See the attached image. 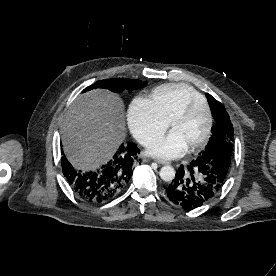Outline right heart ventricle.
Returning <instances> with one entry per match:
<instances>
[{
    "instance_id": "right-heart-ventricle-1",
    "label": "right heart ventricle",
    "mask_w": 276,
    "mask_h": 276,
    "mask_svg": "<svg viewBox=\"0 0 276 276\" xmlns=\"http://www.w3.org/2000/svg\"><path fill=\"white\" fill-rule=\"evenodd\" d=\"M151 101L155 104L161 115L170 122L172 117L189 103L193 101H205V99L188 84L168 83L158 86L152 91Z\"/></svg>"
}]
</instances>
